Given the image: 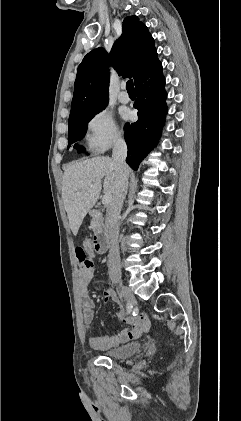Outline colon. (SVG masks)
I'll list each match as a JSON object with an SVG mask.
<instances>
[{
    "mask_svg": "<svg viewBox=\"0 0 241 421\" xmlns=\"http://www.w3.org/2000/svg\"><path fill=\"white\" fill-rule=\"evenodd\" d=\"M94 249V242L90 240L84 241L82 245H79L76 248V256L78 260L88 266L92 265V253Z\"/></svg>",
    "mask_w": 241,
    "mask_h": 421,
    "instance_id": "colon-1",
    "label": "colon"
}]
</instances>
